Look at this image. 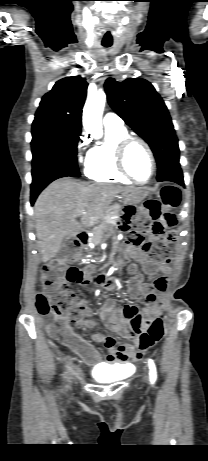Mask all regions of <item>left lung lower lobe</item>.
Wrapping results in <instances>:
<instances>
[{"label": "left lung lower lobe", "mask_w": 208, "mask_h": 461, "mask_svg": "<svg viewBox=\"0 0 208 461\" xmlns=\"http://www.w3.org/2000/svg\"><path fill=\"white\" fill-rule=\"evenodd\" d=\"M158 181H171L178 183L181 186H184L183 174L180 167H177L164 176L157 179Z\"/></svg>", "instance_id": "obj_1"}]
</instances>
